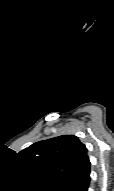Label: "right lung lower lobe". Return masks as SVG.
Returning <instances> with one entry per match:
<instances>
[{"instance_id": "obj_1", "label": "right lung lower lobe", "mask_w": 114, "mask_h": 191, "mask_svg": "<svg viewBox=\"0 0 114 191\" xmlns=\"http://www.w3.org/2000/svg\"><path fill=\"white\" fill-rule=\"evenodd\" d=\"M90 175L73 179L57 187V191H87L89 188Z\"/></svg>"}]
</instances>
